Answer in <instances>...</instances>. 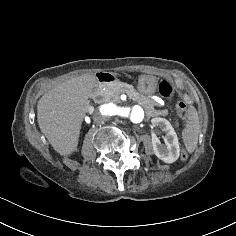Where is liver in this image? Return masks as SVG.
Segmentation results:
<instances>
[{"label": "liver", "instance_id": "liver-1", "mask_svg": "<svg viewBox=\"0 0 236 236\" xmlns=\"http://www.w3.org/2000/svg\"><path fill=\"white\" fill-rule=\"evenodd\" d=\"M96 74L63 81L37 102V123L54 151L61 157L77 152L83 121L92 110L91 96L98 83Z\"/></svg>", "mask_w": 236, "mask_h": 236}]
</instances>
